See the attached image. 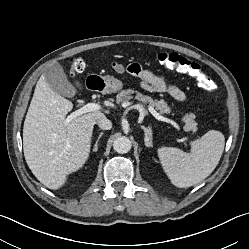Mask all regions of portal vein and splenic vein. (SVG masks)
Masks as SVG:
<instances>
[{
	"mask_svg": "<svg viewBox=\"0 0 249 249\" xmlns=\"http://www.w3.org/2000/svg\"><path fill=\"white\" fill-rule=\"evenodd\" d=\"M101 109V106L99 104L96 103H88L86 105H84L83 107H81L80 109L72 112L70 115L67 116V118L65 119V123H69L71 122L73 119H75L78 116H81L83 114H86L88 112H92V111H98ZM137 109L140 111L141 115L144 116L145 115V109L142 105H137ZM149 111L150 113L157 119L163 122H167L170 123L171 125H173L177 130H180V126L178 123H176L174 120H171L169 118H166L164 116H161L153 107L149 106Z\"/></svg>",
	"mask_w": 249,
	"mask_h": 249,
	"instance_id": "18ae733b",
	"label": "portal vein and splenic vein"
}]
</instances>
